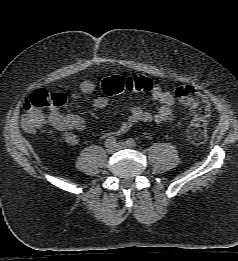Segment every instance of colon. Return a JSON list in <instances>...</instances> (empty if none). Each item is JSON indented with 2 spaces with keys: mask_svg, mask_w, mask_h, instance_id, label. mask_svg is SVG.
<instances>
[{
  "mask_svg": "<svg viewBox=\"0 0 238 261\" xmlns=\"http://www.w3.org/2000/svg\"><path fill=\"white\" fill-rule=\"evenodd\" d=\"M152 81L144 75H114L99 84V92L106 96H114L124 92H149ZM175 97L187 105L192 119L187 128V138L193 145H200L206 140V127L211 116V105L207 96L191 85H179L174 89ZM66 97L59 93L37 90L24 101L25 114L22 124L29 133L37 131L46 121V111L62 107Z\"/></svg>",
  "mask_w": 238,
  "mask_h": 261,
  "instance_id": "obj_1",
  "label": "colon"
}]
</instances>
